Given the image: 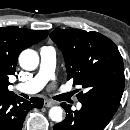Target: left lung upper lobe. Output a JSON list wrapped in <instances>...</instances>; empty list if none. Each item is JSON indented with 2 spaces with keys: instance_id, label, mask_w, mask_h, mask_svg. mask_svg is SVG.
<instances>
[{
  "instance_id": "1",
  "label": "left lung upper lobe",
  "mask_w": 130,
  "mask_h": 130,
  "mask_svg": "<svg viewBox=\"0 0 130 130\" xmlns=\"http://www.w3.org/2000/svg\"><path fill=\"white\" fill-rule=\"evenodd\" d=\"M50 37L63 53L67 80L73 79L83 89L78 100H99L118 109L125 77L115 43L100 33L80 29L54 30Z\"/></svg>"
}]
</instances>
